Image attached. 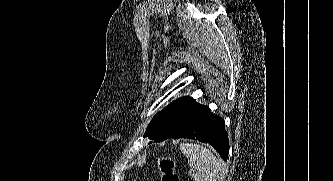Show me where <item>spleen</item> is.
<instances>
[{"label":"spleen","mask_w":333,"mask_h":181,"mask_svg":"<svg viewBox=\"0 0 333 181\" xmlns=\"http://www.w3.org/2000/svg\"><path fill=\"white\" fill-rule=\"evenodd\" d=\"M180 149L189 166L195 170V181H219L223 174L220 158L199 144L182 143Z\"/></svg>","instance_id":"3e777b00"}]
</instances>
